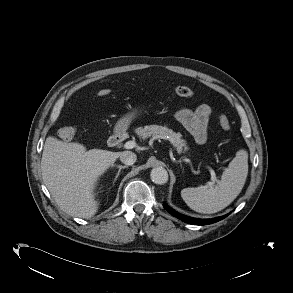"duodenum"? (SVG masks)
Wrapping results in <instances>:
<instances>
[{
  "mask_svg": "<svg viewBox=\"0 0 293 293\" xmlns=\"http://www.w3.org/2000/svg\"><path fill=\"white\" fill-rule=\"evenodd\" d=\"M126 139V134L124 131L119 130L112 134L108 139V146L109 147H117L123 143Z\"/></svg>",
  "mask_w": 293,
  "mask_h": 293,
  "instance_id": "410a0bca",
  "label": "duodenum"
}]
</instances>
